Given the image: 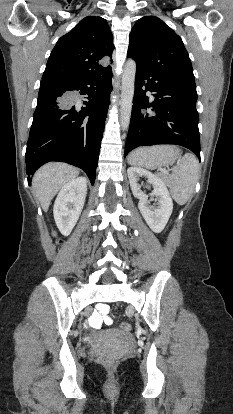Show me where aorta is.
Wrapping results in <instances>:
<instances>
[{"label": "aorta", "instance_id": "1", "mask_svg": "<svg viewBox=\"0 0 233 414\" xmlns=\"http://www.w3.org/2000/svg\"><path fill=\"white\" fill-rule=\"evenodd\" d=\"M135 74L136 63L134 60L129 59L124 67L121 87L120 123L123 130H127L130 123L135 89Z\"/></svg>", "mask_w": 233, "mask_h": 414}]
</instances>
